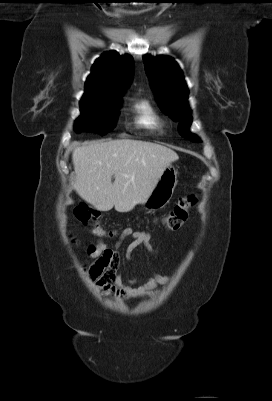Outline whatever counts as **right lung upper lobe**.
<instances>
[{"instance_id": "obj_1", "label": "right lung upper lobe", "mask_w": 272, "mask_h": 401, "mask_svg": "<svg viewBox=\"0 0 272 401\" xmlns=\"http://www.w3.org/2000/svg\"><path fill=\"white\" fill-rule=\"evenodd\" d=\"M133 69L134 61L129 55L120 56L115 51L103 53L92 66L82 99L105 93H122L131 82Z\"/></svg>"}]
</instances>
